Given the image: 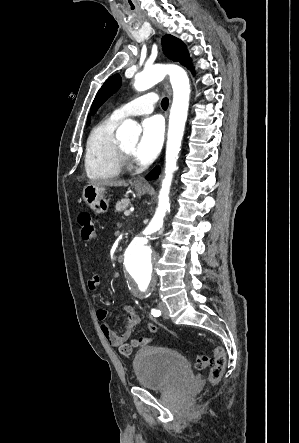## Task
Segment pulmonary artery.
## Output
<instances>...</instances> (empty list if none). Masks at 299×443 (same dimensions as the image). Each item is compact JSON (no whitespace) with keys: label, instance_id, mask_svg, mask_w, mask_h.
<instances>
[{"label":"pulmonary artery","instance_id":"1","mask_svg":"<svg viewBox=\"0 0 299 443\" xmlns=\"http://www.w3.org/2000/svg\"><path fill=\"white\" fill-rule=\"evenodd\" d=\"M158 101L156 93L149 92L115 109L111 116L122 120L129 116L149 114Z\"/></svg>","mask_w":299,"mask_h":443}]
</instances>
